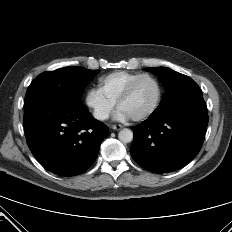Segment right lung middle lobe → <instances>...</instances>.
Returning a JSON list of instances; mask_svg holds the SVG:
<instances>
[{
	"label": "right lung middle lobe",
	"mask_w": 232,
	"mask_h": 232,
	"mask_svg": "<svg viewBox=\"0 0 232 232\" xmlns=\"http://www.w3.org/2000/svg\"><path fill=\"white\" fill-rule=\"evenodd\" d=\"M98 72L77 66L44 72L30 84L24 107L41 100L81 102L86 85Z\"/></svg>",
	"instance_id": "1"
}]
</instances>
